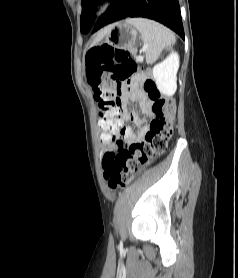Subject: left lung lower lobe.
I'll return each instance as SVG.
<instances>
[{"instance_id":"0a47b994","label":"left lung lower lobe","mask_w":238,"mask_h":278,"mask_svg":"<svg viewBox=\"0 0 238 278\" xmlns=\"http://www.w3.org/2000/svg\"><path fill=\"white\" fill-rule=\"evenodd\" d=\"M128 17L156 20L184 39L178 0H113L109 11L97 21L93 32L107 24Z\"/></svg>"}]
</instances>
